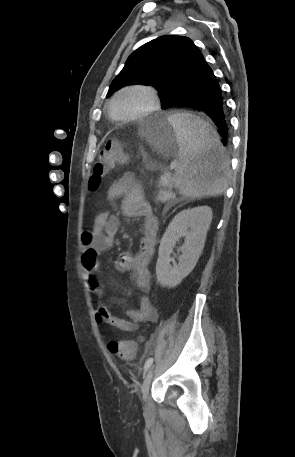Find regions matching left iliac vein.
Segmentation results:
<instances>
[{
    "mask_svg": "<svg viewBox=\"0 0 295 457\" xmlns=\"http://www.w3.org/2000/svg\"><path fill=\"white\" fill-rule=\"evenodd\" d=\"M153 373H154V366H152L149 371L147 372V374L145 375V378H144V381L142 383V387H141V393H142V399L143 401H146L147 398H148V394H149V389H150V385H151V380H152V377H153Z\"/></svg>",
    "mask_w": 295,
    "mask_h": 457,
    "instance_id": "obj_1",
    "label": "left iliac vein"
}]
</instances>
